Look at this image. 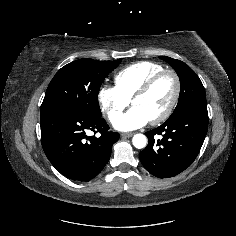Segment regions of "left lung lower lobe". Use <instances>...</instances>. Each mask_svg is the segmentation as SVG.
<instances>
[{
    "mask_svg": "<svg viewBox=\"0 0 236 236\" xmlns=\"http://www.w3.org/2000/svg\"><path fill=\"white\" fill-rule=\"evenodd\" d=\"M208 130L207 105H195L146 132L149 143L140 152L142 165L154 176L169 178L188 168L198 155ZM155 135L162 138L155 140Z\"/></svg>",
    "mask_w": 236,
    "mask_h": 236,
    "instance_id": "0a47b994",
    "label": "left lung lower lobe"
}]
</instances>
